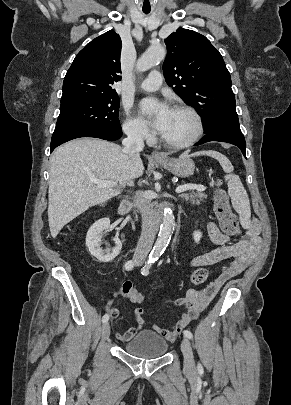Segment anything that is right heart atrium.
<instances>
[{"label": "right heart atrium", "instance_id": "d8ad5b80", "mask_svg": "<svg viewBox=\"0 0 291 405\" xmlns=\"http://www.w3.org/2000/svg\"><path fill=\"white\" fill-rule=\"evenodd\" d=\"M124 133L131 139L136 141H149L152 134L149 129L137 118L133 117L129 112H125L122 125Z\"/></svg>", "mask_w": 291, "mask_h": 405}]
</instances>
